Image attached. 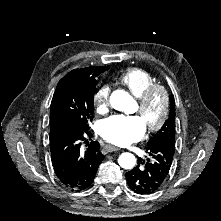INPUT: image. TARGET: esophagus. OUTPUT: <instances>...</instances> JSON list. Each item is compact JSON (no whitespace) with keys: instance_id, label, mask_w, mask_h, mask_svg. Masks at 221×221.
<instances>
[{"instance_id":"obj_1","label":"esophagus","mask_w":221,"mask_h":221,"mask_svg":"<svg viewBox=\"0 0 221 221\" xmlns=\"http://www.w3.org/2000/svg\"><path fill=\"white\" fill-rule=\"evenodd\" d=\"M120 149L116 146L113 145H109V144H105L102 148V152L104 154L108 153V152H113V151H119Z\"/></svg>"}]
</instances>
